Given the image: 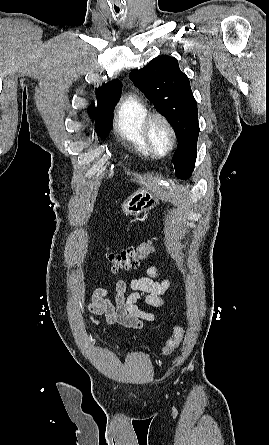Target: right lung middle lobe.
<instances>
[{
  "label": "right lung middle lobe",
  "mask_w": 269,
  "mask_h": 445,
  "mask_svg": "<svg viewBox=\"0 0 269 445\" xmlns=\"http://www.w3.org/2000/svg\"><path fill=\"white\" fill-rule=\"evenodd\" d=\"M115 105L116 104L107 107H93L89 109V114L95 119V130L102 138H105L109 135L112 124L111 119Z\"/></svg>",
  "instance_id": "obj_1"
}]
</instances>
